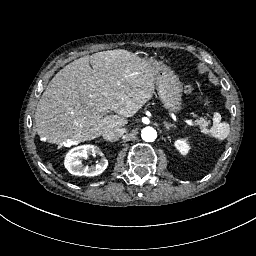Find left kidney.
<instances>
[{"label": "left kidney", "instance_id": "left-kidney-1", "mask_svg": "<svg viewBox=\"0 0 256 256\" xmlns=\"http://www.w3.org/2000/svg\"><path fill=\"white\" fill-rule=\"evenodd\" d=\"M175 148L181 153V155H187L190 150V144L188 139H178L174 142Z\"/></svg>", "mask_w": 256, "mask_h": 256}]
</instances>
